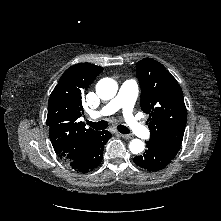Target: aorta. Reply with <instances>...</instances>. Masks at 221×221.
Listing matches in <instances>:
<instances>
[{
	"mask_svg": "<svg viewBox=\"0 0 221 221\" xmlns=\"http://www.w3.org/2000/svg\"><path fill=\"white\" fill-rule=\"evenodd\" d=\"M118 90V85L112 78H103L96 85V93L102 100L112 99ZM144 142L139 139H133L129 143V149L133 154H138L144 150Z\"/></svg>",
	"mask_w": 221,
	"mask_h": 221,
	"instance_id": "762f6f07",
	"label": "aorta"
}]
</instances>
